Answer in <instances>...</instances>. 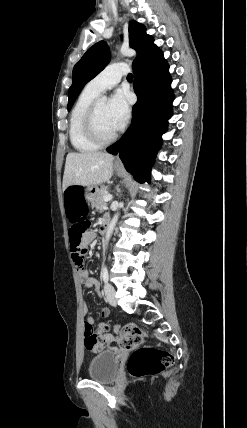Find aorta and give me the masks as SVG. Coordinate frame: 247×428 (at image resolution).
Segmentation results:
<instances>
[{"mask_svg": "<svg viewBox=\"0 0 247 428\" xmlns=\"http://www.w3.org/2000/svg\"><path fill=\"white\" fill-rule=\"evenodd\" d=\"M126 55L127 56H134L135 55V51L134 50H128L127 52H126ZM101 101L102 102H105L106 101V97L105 96H103L102 98H101ZM118 217H119V214L117 213V214H115L114 215V217L112 218V220H111V222H110V224H109V226H108V229H107V232H106V236H105V240H104V245H107L108 244V242H109V239H110V237H111V235H112V233H113V230H114V228H115V226H116V223H117V221H118Z\"/></svg>", "mask_w": 247, "mask_h": 428, "instance_id": "1", "label": "aorta"}]
</instances>
